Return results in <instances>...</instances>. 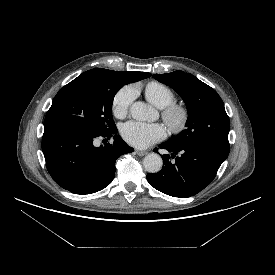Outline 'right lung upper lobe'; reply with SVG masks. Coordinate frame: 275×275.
Returning a JSON list of instances; mask_svg holds the SVG:
<instances>
[{
  "label": "right lung upper lobe",
  "mask_w": 275,
  "mask_h": 275,
  "mask_svg": "<svg viewBox=\"0 0 275 275\" xmlns=\"http://www.w3.org/2000/svg\"><path fill=\"white\" fill-rule=\"evenodd\" d=\"M104 76L115 77L125 85L128 83H133L148 78L151 76V74L147 72L138 71L118 72L102 68H95L82 73L79 77L97 78Z\"/></svg>",
  "instance_id": "right-lung-upper-lobe-1"
}]
</instances>
